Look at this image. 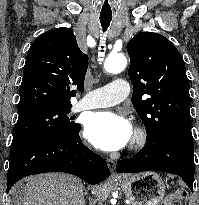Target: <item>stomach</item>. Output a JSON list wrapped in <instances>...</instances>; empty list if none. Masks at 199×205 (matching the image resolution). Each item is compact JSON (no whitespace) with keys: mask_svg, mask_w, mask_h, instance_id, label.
Masks as SVG:
<instances>
[{"mask_svg":"<svg viewBox=\"0 0 199 205\" xmlns=\"http://www.w3.org/2000/svg\"><path fill=\"white\" fill-rule=\"evenodd\" d=\"M121 185L132 205H159L165 195L164 181L155 172L125 175Z\"/></svg>","mask_w":199,"mask_h":205,"instance_id":"1","label":"stomach"}]
</instances>
